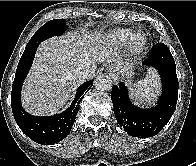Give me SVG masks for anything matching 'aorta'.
Wrapping results in <instances>:
<instances>
[{"label":"aorta","instance_id":"obj_1","mask_svg":"<svg viewBox=\"0 0 196 166\" xmlns=\"http://www.w3.org/2000/svg\"><path fill=\"white\" fill-rule=\"evenodd\" d=\"M95 88L99 91H109L112 89V80L108 75H99L95 79Z\"/></svg>","mask_w":196,"mask_h":166}]
</instances>
